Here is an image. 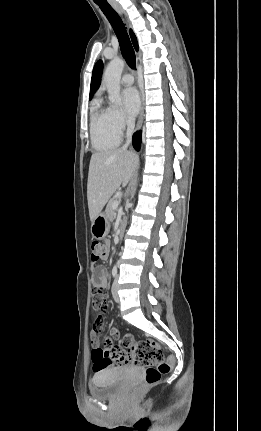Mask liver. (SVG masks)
Masks as SVG:
<instances>
[{
  "mask_svg": "<svg viewBox=\"0 0 261 431\" xmlns=\"http://www.w3.org/2000/svg\"><path fill=\"white\" fill-rule=\"evenodd\" d=\"M138 163L135 153L126 149H115L94 153L91 156L87 199L91 222L102 211L115 191L130 181Z\"/></svg>",
  "mask_w": 261,
  "mask_h": 431,
  "instance_id": "liver-1",
  "label": "liver"
}]
</instances>
